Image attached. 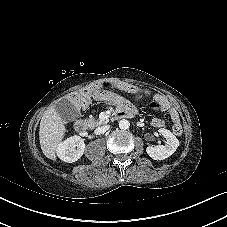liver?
Returning <instances> with one entry per match:
<instances>
[{
  "label": "liver",
  "instance_id": "6515ba94",
  "mask_svg": "<svg viewBox=\"0 0 227 227\" xmlns=\"http://www.w3.org/2000/svg\"><path fill=\"white\" fill-rule=\"evenodd\" d=\"M65 120L53 106L47 108L40 121L39 140L43 154L55 161L58 144L64 138Z\"/></svg>",
  "mask_w": 227,
  "mask_h": 227
}]
</instances>
